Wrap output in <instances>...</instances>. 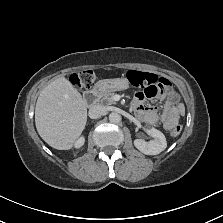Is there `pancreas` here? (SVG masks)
Returning <instances> with one entry per match:
<instances>
[{
  "mask_svg": "<svg viewBox=\"0 0 223 223\" xmlns=\"http://www.w3.org/2000/svg\"><path fill=\"white\" fill-rule=\"evenodd\" d=\"M114 93H107L105 95H103V98L101 100V102H104L106 101L107 102V105H112V104H115V101H114Z\"/></svg>",
  "mask_w": 223,
  "mask_h": 223,
  "instance_id": "1",
  "label": "pancreas"
}]
</instances>
